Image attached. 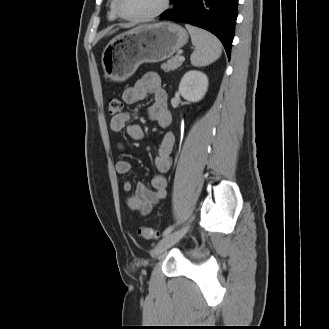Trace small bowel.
<instances>
[{
    "label": "small bowel",
    "mask_w": 329,
    "mask_h": 329,
    "mask_svg": "<svg viewBox=\"0 0 329 329\" xmlns=\"http://www.w3.org/2000/svg\"><path fill=\"white\" fill-rule=\"evenodd\" d=\"M148 95L153 96V102L147 109L148 118L161 127L169 126L171 123V114L167 104V93L162 88V82L157 73H146L141 80L124 90L122 99L124 103L132 105L144 100ZM129 121L130 114L128 112H121L110 119L109 128L115 133L125 130L129 138L142 140L144 138L142 127L139 124L130 123ZM174 143L175 138L171 132L163 135L155 158L157 173L151 180L152 189H149L142 183L137 184L135 190L126 199L127 207L131 211H139L142 214H147L156 203L164 199L166 195V174L172 166ZM117 147L121 151L124 149L122 143H118ZM116 170L118 173L126 175L131 170V164L126 159H120L116 163ZM123 189L126 192H131L133 189L132 181L125 180L123 182Z\"/></svg>",
    "instance_id": "obj_1"
}]
</instances>
